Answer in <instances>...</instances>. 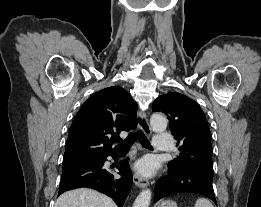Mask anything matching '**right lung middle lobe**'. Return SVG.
Listing matches in <instances>:
<instances>
[{
    "label": "right lung middle lobe",
    "instance_id": "dd1d6c3e",
    "mask_svg": "<svg viewBox=\"0 0 261 207\" xmlns=\"http://www.w3.org/2000/svg\"><path fill=\"white\" fill-rule=\"evenodd\" d=\"M97 158H82L76 160L63 161V169L72 168L81 165L94 164Z\"/></svg>",
    "mask_w": 261,
    "mask_h": 207
}]
</instances>
